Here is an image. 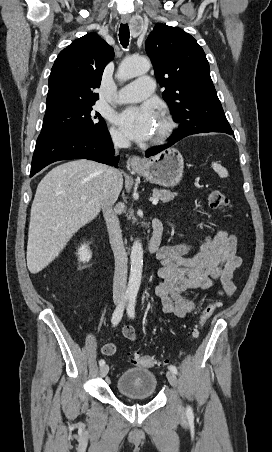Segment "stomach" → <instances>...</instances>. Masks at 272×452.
<instances>
[{"label":"stomach","instance_id":"0dacf381","mask_svg":"<svg viewBox=\"0 0 272 452\" xmlns=\"http://www.w3.org/2000/svg\"><path fill=\"white\" fill-rule=\"evenodd\" d=\"M183 168V157L174 148H169L134 167L135 171L149 182L163 187L177 185L182 179Z\"/></svg>","mask_w":272,"mask_h":452}]
</instances>
